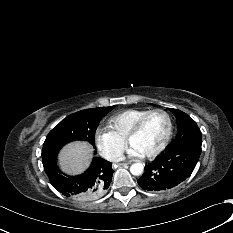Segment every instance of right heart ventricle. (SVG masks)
<instances>
[{
	"mask_svg": "<svg viewBox=\"0 0 233 233\" xmlns=\"http://www.w3.org/2000/svg\"><path fill=\"white\" fill-rule=\"evenodd\" d=\"M147 111L149 110L136 108L124 110L109 119L108 127L113 134L125 141L129 130Z\"/></svg>",
	"mask_w": 233,
	"mask_h": 233,
	"instance_id": "1",
	"label": "right heart ventricle"
}]
</instances>
